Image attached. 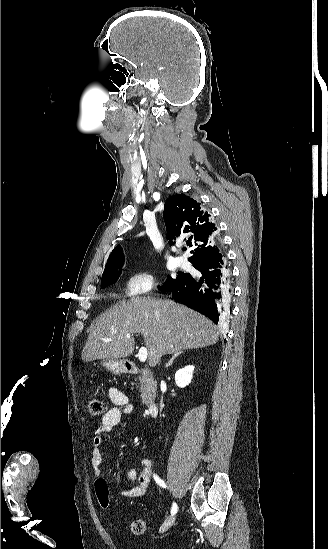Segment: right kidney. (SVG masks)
I'll return each mask as SVG.
<instances>
[{
  "label": "right kidney",
  "mask_w": 328,
  "mask_h": 549,
  "mask_svg": "<svg viewBox=\"0 0 328 549\" xmlns=\"http://www.w3.org/2000/svg\"><path fill=\"white\" fill-rule=\"evenodd\" d=\"M193 371V365H187V367H184V369H179V371L175 373L176 385H178V387H181V389H183V387H186V385H189V383H191Z\"/></svg>",
  "instance_id": "right-kidney-1"
}]
</instances>
